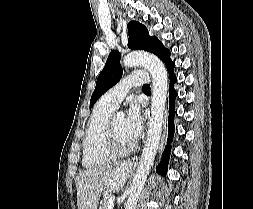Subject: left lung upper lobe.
<instances>
[{"instance_id":"5c2ea615","label":"left lung upper lobe","mask_w":253,"mask_h":209,"mask_svg":"<svg viewBox=\"0 0 253 209\" xmlns=\"http://www.w3.org/2000/svg\"><path fill=\"white\" fill-rule=\"evenodd\" d=\"M128 33V47L130 49L149 51L158 56L166 66L172 63L170 51L163 46L157 37H151L143 24L137 21L129 22ZM120 57L121 54L117 50H113L109 54L106 64L97 79L96 87L90 100V107L121 79L123 70L120 65Z\"/></svg>"}]
</instances>
